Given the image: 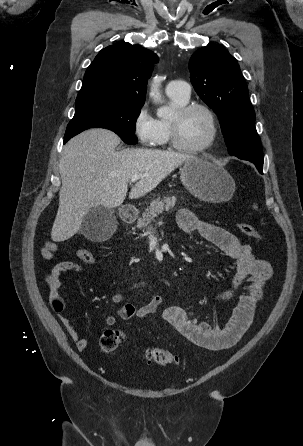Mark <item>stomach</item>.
Here are the masks:
<instances>
[{"mask_svg":"<svg viewBox=\"0 0 303 446\" xmlns=\"http://www.w3.org/2000/svg\"><path fill=\"white\" fill-rule=\"evenodd\" d=\"M180 178L186 189L196 198L212 203L229 201L235 191L231 175L209 161L194 158L180 169Z\"/></svg>","mask_w":303,"mask_h":446,"instance_id":"1","label":"stomach"}]
</instances>
